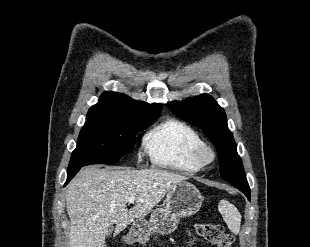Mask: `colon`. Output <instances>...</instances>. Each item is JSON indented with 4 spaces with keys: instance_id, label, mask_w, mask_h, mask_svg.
<instances>
[{
    "instance_id": "5ec220e1",
    "label": "colon",
    "mask_w": 310,
    "mask_h": 247,
    "mask_svg": "<svg viewBox=\"0 0 310 247\" xmlns=\"http://www.w3.org/2000/svg\"><path fill=\"white\" fill-rule=\"evenodd\" d=\"M194 232L215 247H233V236L220 224L199 223L195 225Z\"/></svg>"
}]
</instances>
